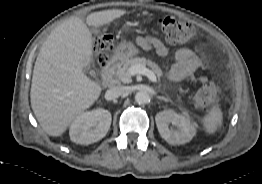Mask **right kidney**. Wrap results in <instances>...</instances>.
<instances>
[{
	"instance_id": "ca27d5eb",
	"label": "right kidney",
	"mask_w": 262,
	"mask_h": 184,
	"mask_svg": "<svg viewBox=\"0 0 262 184\" xmlns=\"http://www.w3.org/2000/svg\"><path fill=\"white\" fill-rule=\"evenodd\" d=\"M111 119V113L103 108L81 113L71 123V141L84 145L99 141L107 134Z\"/></svg>"
}]
</instances>
